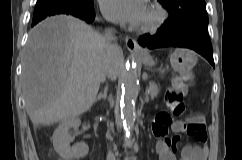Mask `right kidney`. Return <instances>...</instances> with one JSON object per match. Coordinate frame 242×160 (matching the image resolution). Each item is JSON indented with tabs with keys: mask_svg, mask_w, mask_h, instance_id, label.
<instances>
[{
	"mask_svg": "<svg viewBox=\"0 0 242 160\" xmlns=\"http://www.w3.org/2000/svg\"><path fill=\"white\" fill-rule=\"evenodd\" d=\"M81 124L79 118H71L62 121L53 134V146L55 151L64 159L72 160L83 158L88 154L89 148L85 143L70 146L73 141L69 134L71 128L77 129Z\"/></svg>",
	"mask_w": 242,
	"mask_h": 160,
	"instance_id": "ca27d5eb",
	"label": "right kidney"
}]
</instances>
